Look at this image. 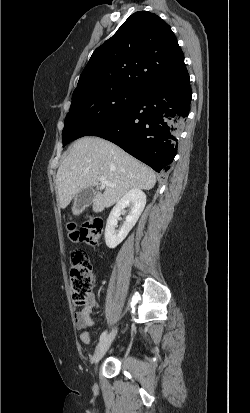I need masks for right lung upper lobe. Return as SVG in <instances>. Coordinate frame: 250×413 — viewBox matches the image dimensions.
Here are the masks:
<instances>
[{
    "label": "right lung upper lobe",
    "mask_w": 250,
    "mask_h": 413,
    "mask_svg": "<svg viewBox=\"0 0 250 413\" xmlns=\"http://www.w3.org/2000/svg\"><path fill=\"white\" fill-rule=\"evenodd\" d=\"M187 75L183 52L170 26L154 13L139 11L93 52L74 93L114 87L141 90Z\"/></svg>",
    "instance_id": "cb5924a9"
}]
</instances>
